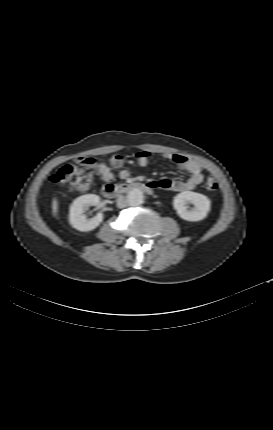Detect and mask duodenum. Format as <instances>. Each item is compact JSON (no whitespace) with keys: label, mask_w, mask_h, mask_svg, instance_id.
Here are the masks:
<instances>
[{"label":"duodenum","mask_w":273,"mask_h":430,"mask_svg":"<svg viewBox=\"0 0 273 430\" xmlns=\"http://www.w3.org/2000/svg\"><path fill=\"white\" fill-rule=\"evenodd\" d=\"M152 188V184H145L139 182L126 183L123 185H115L112 183H108L103 187L102 194L104 197L112 199L134 190L141 191L144 193H151Z\"/></svg>","instance_id":"1"}]
</instances>
